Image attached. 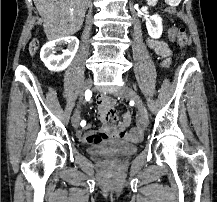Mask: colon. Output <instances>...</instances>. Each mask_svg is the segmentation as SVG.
I'll return each mask as SVG.
<instances>
[{
	"label": "colon",
	"mask_w": 217,
	"mask_h": 202,
	"mask_svg": "<svg viewBox=\"0 0 217 202\" xmlns=\"http://www.w3.org/2000/svg\"><path fill=\"white\" fill-rule=\"evenodd\" d=\"M171 35L174 37V40L180 47H185L189 43V36L186 32V29L183 25H179L176 28L171 29ZM39 41L38 39L34 38L29 43V53L31 55H34L36 53V50L38 49ZM132 132H137V127L131 128Z\"/></svg>",
	"instance_id": "obj_1"
}]
</instances>
